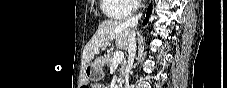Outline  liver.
<instances>
[{
    "label": "liver",
    "mask_w": 227,
    "mask_h": 88,
    "mask_svg": "<svg viewBox=\"0 0 227 88\" xmlns=\"http://www.w3.org/2000/svg\"><path fill=\"white\" fill-rule=\"evenodd\" d=\"M130 34L131 29L125 27L121 21H103L99 24L97 31L84 48L83 63H89L94 55L112 40H115L118 49L126 50L128 48Z\"/></svg>",
    "instance_id": "liver-1"
}]
</instances>
